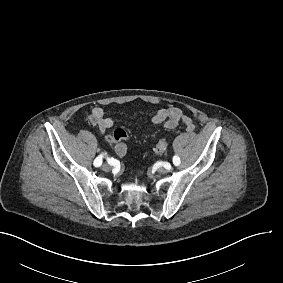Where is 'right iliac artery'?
Here are the masks:
<instances>
[{"mask_svg":"<svg viewBox=\"0 0 283 283\" xmlns=\"http://www.w3.org/2000/svg\"><path fill=\"white\" fill-rule=\"evenodd\" d=\"M102 157L103 155L98 156L95 160H94V166L95 167H100L102 164Z\"/></svg>","mask_w":283,"mask_h":283,"instance_id":"right-iliac-artery-1","label":"right iliac artery"}]
</instances>
